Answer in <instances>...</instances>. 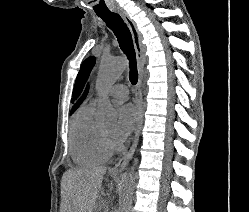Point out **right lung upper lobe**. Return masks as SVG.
Instances as JSON below:
<instances>
[{
    "label": "right lung upper lobe",
    "instance_id": "cb5924a9",
    "mask_svg": "<svg viewBox=\"0 0 249 212\" xmlns=\"http://www.w3.org/2000/svg\"><path fill=\"white\" fill-rule=\"evenodd\" d=\"M87 92H88V87H87V89H86V91H85L83 97H82V98L77 102V104L73 107L72 112H74V111L76 110V108L80 105V103H81V102L83 101V99L86 97Z\"/></svg>",
    "mask_w": 249,
    "mask_h": 212
}]
</instances>
